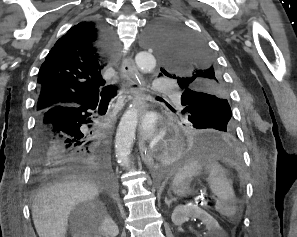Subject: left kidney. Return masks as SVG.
Wrapping results in <instances>:
<instances>
[{
  "label": "left kidney",
  "mask_w": 297,
  "mask_h": 237,
  "mask_svg": "<svg viewBox=\"0 0 297 237\" xmlns=\"http://www.w3.org/2000/svg\"><path fill=\"white\" fill-rule=\"evenodd\" d=\"M189 217L198 218L202 221L207 229L206 237H224L223 229L217 220L195 204L177 206L172 213L171 219L175 225L181 226Z\"/></svg>",
  "instance_id": "obj_1"
}]
</instances>
